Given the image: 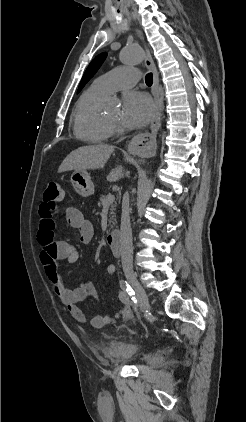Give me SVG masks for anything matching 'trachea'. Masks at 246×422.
<instances>
[{"label": "trachea", "mask_w": 246, "mask_h": 422, "mask_svg": "<svg viewBox=\"0 0 246 422\" xmlns=\"http://www.w3.org/2000/svg\"><path fill=\"white\" fill-rule=\"evenodd\" d=\"M145 82L148 86H151L153 83V74L152 73H148L145 77Z\"/></svg>", "instance_id": "obj_1"}]
</instances>
